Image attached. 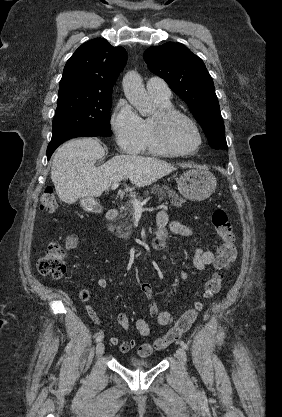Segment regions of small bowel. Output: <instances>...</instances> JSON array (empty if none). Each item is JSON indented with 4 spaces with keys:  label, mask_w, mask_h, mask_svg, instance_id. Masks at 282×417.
<instances>
[{
    "label": "small bowel",
    "mask_w": 282,
    "mask_h": 417,
    "mask_svg": "<svg viewBox=\"0 0 282 417\" xmlns=\"http://www.w3.org/2000/svg\"><path fill=\"white\" fill-rule=\"evenodd\" d=\"M168 231L181 236V237H194L196 236L195 230L179 221H170L169 215L165 210L158 212L156 217V230L153 238V245L157 248V244L160 242H165V238L168 234ZM80 237L78 235H71L66 239L67 248H74L77 246ZM158 249V248H157ZM213 262L217 261V255L209 249H203L198 247L194 251L193 255V265L198 271H204L205 268L209 265H212ZM182 279L187 278V273L185 271L180 272ZM96 288L105 289L108 286V280L105 277H99L95 282ZM137 289L144 293L148 303L152 306L151 316L155 322L160 326H169L170 323H174L176 318L171 312L168 311H158L154 308L155 303V292L153 287L146 282H139L136 285ZM93 290L91 288H84L80 291L79 297L82 301L88 302L92 296ZM86 312L90 319L96 324L100 325L101 320L91 304H87ZM181 318V317H179ZM117 321L121 328L124 331H129L131 328V321L125 313H119L117 315ZM135 327L139 335L147 337L151 333V323L147 319L139 318L135 321ZM110 343L114 346H117L122 353H128L131 350L135 349L137 343L135 339H120L116 336L110 338ZM147 344V343H144Z\"/></svg>",
    "instance_id": "1"
}]
</instances>
